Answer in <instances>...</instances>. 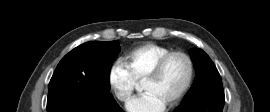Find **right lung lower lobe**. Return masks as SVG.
<instances>
[{"mask_svg": "<svg viewBox=\"0 0 270 112\" xmlns=\"http://www.w3.org/2000/svg\"><path fill=\"white\" fill-rule=\"evenodd\" d=\"M47 112H124L114 100L97 101L83 92L71 91L64 96L47 101Z\"/></svg>", "mask_w": 270, "mask_h": 112, "instance_id": "obj_1", "label": "right lung lower lobe"}]
</instances>
